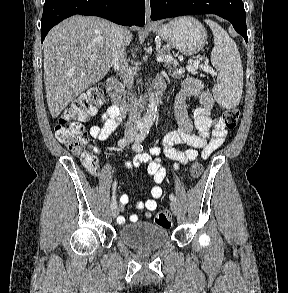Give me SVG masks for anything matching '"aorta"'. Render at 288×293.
Here are the masks:
<instances>
[{
	"instance_id": "aorta-1",
	"label": "aorta",
	"mask_w": 288,
	"mask_h": 293,
	"mask_svg": "<svg viewBox=\"0 0 288 293\" xmlns=\"http://www.w3.org/2000/svg\"><path fill=\"white\" fill-rule=\"evenodd\" d=\"M148 93H149L148 107H147L145 115L140 119V122H139L140 129L144 131H147L152 127V125L155 122V119L157 116V110H158L157 100L154 94L150 91H148Z\"/></svg>"
}]
</instances>
